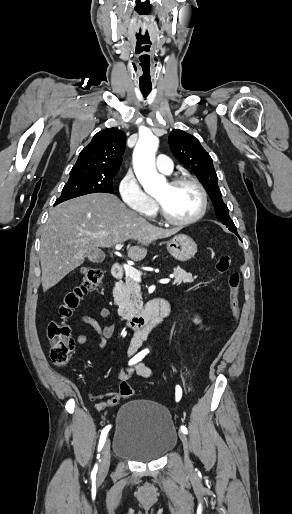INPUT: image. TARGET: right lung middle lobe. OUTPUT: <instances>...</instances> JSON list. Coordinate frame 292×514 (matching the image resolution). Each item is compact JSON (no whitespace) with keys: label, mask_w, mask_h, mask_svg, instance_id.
Wrapping results in <instances>:
<instances>
[{"label":"right lung middle lobe","mask_w":292,"mask_h":514,"mask_svg":"<svg viewBox=\"0 0 292 514\" xmlns=\"http://www.w3.org/2000/svg\"><path fill=\"white\" fill-rule=\"evenodd\" d=\"M114 177L115 175L70 174L61 196L54 205L90 193H113L112 180Z\"/></svg>","instance_id":"right-lung-middle-lobe-1"}]
</instances>
